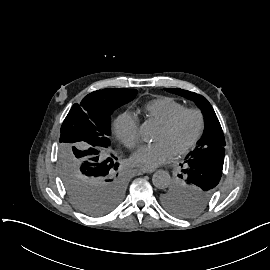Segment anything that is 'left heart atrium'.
<instances>
[{"instance_id":"obj_1","label":"left heart atrium","mask_w":270,"mask_h":270,"mask_svg":"<svg viewBox=\"0 0 270 270\" xmlns=\"http://www.w3.org/2000/svg\"><path fill=\"white\" fill-rule=\"evenodd\" d=\"M176 149L168 141H158L143 145L133 156L132 161L139 167L152 170L169 162L175 155Z\"/></svg>"}]
</instances>
